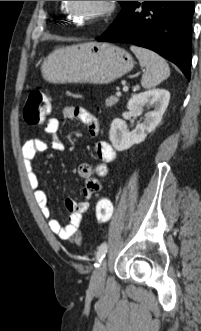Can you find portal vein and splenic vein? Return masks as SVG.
<instances>
[{"label":"portal vein and splenic vein","instance_id":"18ae733b","mask_svg":"<svg viewBox=\"0 0 201 331\" xmlns=\"http://www.w3.org/2000/svg\"><path fill=\"white\" fill-rule=\"evenodd\" d=\"M123 91L127 92L128 91V86L124 85L123 87ZM121 93L117 92V95L119 96Z\"/></svg>","mask_w":201,"mask_h":331}]
</instances>
